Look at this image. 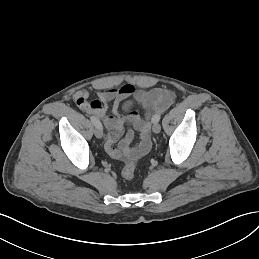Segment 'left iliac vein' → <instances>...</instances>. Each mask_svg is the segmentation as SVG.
Here are the masks:
<instances>
[{"mask_svg":"<svg viewBox=\"0 0 259 259\" xmlns=\"http://www.w3.org/2000/svg\"><path fill=\"white\" fill-rule=\"evenodd\" d=\"M152 130L154 133H159L161 131V126L160 124L157 122V123H154L153 127H152Z\"/></svg>","mask_w":259,"mask_h":259,"instance_id":"obj_1","label":"left iliac vein"}]
</instances>
